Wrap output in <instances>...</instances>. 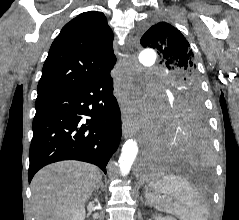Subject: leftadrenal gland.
<instances>
[{
    "instance_id": "obj_1",
    "label": "left adrenal gland",
    "mask_w": 239,
    "mask_h": 220,
    "mask_svg": "<svg viewBox=\"0 0 239 220\" xmlns=\"http://www.w3.org/2000/svg\"><path fill=\"white\" fill-rule=\"evenodd\" d=\"M145 205H150L149 201L146 199Z\"/></svg>"
}]
</instances>
